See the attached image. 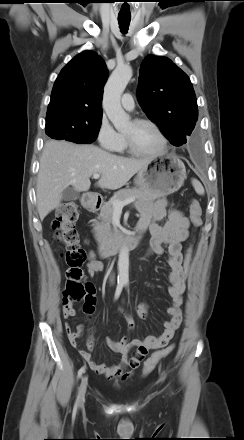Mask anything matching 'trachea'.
Here are the masks:
<instances>
[{
  "label": "trachea",
  "mask_w": 244,
  "mask_h": 440,
  "mask_svg": "<svg viewBox=\"0 0 244 440\" xmlns=\"http://www.w3.org/2000/svg\"><path fill=\"white\" fill-rule=\"evenodd\" d=\"M130 21H131V18H118L119 26H120L122 33L127 32L128 28H129Z\"/></svg>",
  "instance_id": "trachea-1"
}]
</instances>
